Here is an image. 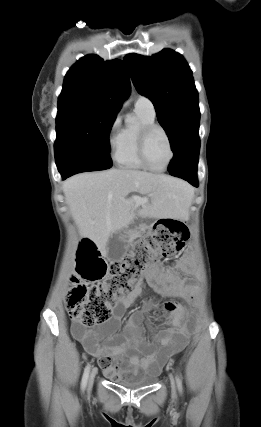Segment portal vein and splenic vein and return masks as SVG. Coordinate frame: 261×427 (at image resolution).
<instances>
[{
  "mask_svg": "<svg viewBox=\"0 0 261 427\" xmlns=\"http://www.w3.org/2000/svg\"><path fill=\"white\" fill-rule=\"evenodd\" d=\"M132 200L138 204L145 203L148 201L147 198H141L140 196H133Z\"/></svg>",
  "mask_w": 261,
  "mask_h": 427,
  "instance_id": "portal-vein-and-splenic-vein-1",
  "label": "portal vein and splenic vein"
}]
</instances>
